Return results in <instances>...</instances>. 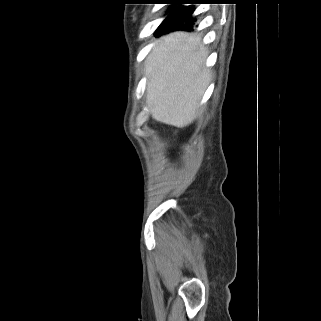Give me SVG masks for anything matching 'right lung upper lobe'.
Segmentation results:
<instances>
[{
    "label": "right lung upper lobe",
    "mask_w": 321,
    "mask_h": 321,
    "mask_svg": "<svg viewBox=\"0 0 321 321\" xmlns=\"http://www.w3.org/2000/svg\"><path fill=\"white\" fill-rule=\"evenodd\" d=\"M182 1H192V0H182Z\"/></svg>",
    "instance_id": "obj_1"
}]
</instances>
